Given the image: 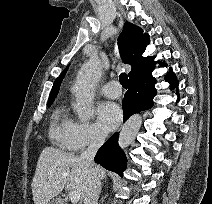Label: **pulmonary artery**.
Instances as JSON below:
<instances>
[{"instance_id": "obj_1", "label": "pulmonary artery", "mask_w": 212, "mask_h": 204, "mask_svg": "<svg viewBox=\"0 0 212 204\" xmlns=\"http://www.w3.org/2000/svg\"><path fill=\"white\" fill-rule=\"evenodd\" d=\"M100 93L109 98H118L122 91L117 81H111L100 89Z\"/></svg>"}]
</instances>
